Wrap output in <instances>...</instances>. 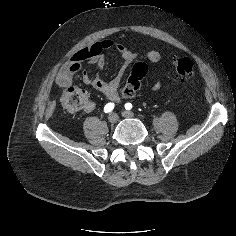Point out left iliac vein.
Returning a JSON list of instances; mask_svg holds the SVG:
<instances>
[{"instance_id":"1","label":"left iliac vein","mask_w":236,"mask_h":236,"mask_svg":"<svg viewBox=\"0 0 236 236\" xmlns=\"http://www.w3.org/2000/svg\"><path fill=\"white\" fill-rule=\"evenodd\" d=\"M122 116L125 118H133L134 117V113L131 111H123L122 112Z\"/></svg>"}]
</instances>
